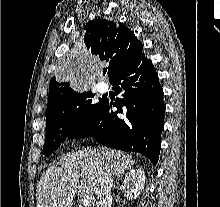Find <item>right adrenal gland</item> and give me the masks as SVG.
Returning <instances> with one entry per match:
<instances>
[{
  "mask_svg": "<svg viewBox=\"0 0 220 207\" xmlns=\"http://www.w3.org/2000/svg\"><path fill=\"white\" fill-rule=\"evenodd\" d=\"M121 178H122V175H119V176L116 178L115 184H114V186H113L114 189L117 188V185L119 184V181L121 180Z\"/></svg>",
  "mask_w": 220,
  "mask_h": 207,
  "instance_id": "obj_1",
  "label": "right adrenal gland"
}]
</instances>
